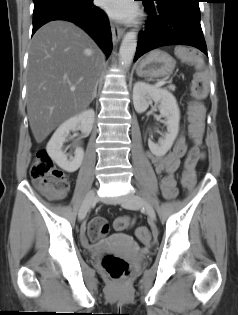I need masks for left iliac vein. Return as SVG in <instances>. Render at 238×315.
Instances as JSON below:
<instances>
[{
    "label": "left iliac vein",
    "instance_id": "4c4485c4",
    "mask_svg": "<svg viewBox=\"0 0 238 315\" xmlns=\"http://www.w3.org/2000/svg\"><path fill=\"white\" fill-rule=\"evenodd\" d=\"M121 205L128 209H137L143 207L149 220L154 222L156 220V213L152 205L138 194H129L121 199Z\"/></svg>",
    "mask_w": 238,
    "mask_h": 315
}]
</instances>
